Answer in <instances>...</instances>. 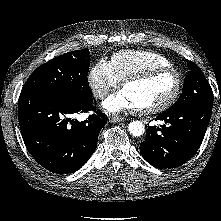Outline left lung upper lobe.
<instances>
[{
  "instance_id": "obj_1",
  "label": "left lung upper lobe",
  "mask_w": 221,
  "mask_h": 221,
  "mask_svg": "<svg viewBox=\"0 0 221 221\" xmlns=\"http://www.w3.org/2000/svg\"><path fill=\"white\" fill-rule=\"evenodd\" d=\"M188 73L183 92L177 102L167 111H179L193 105L213 104V92L203 72L193 62L187 60Z\"/></svg>"
}]
</instances>
